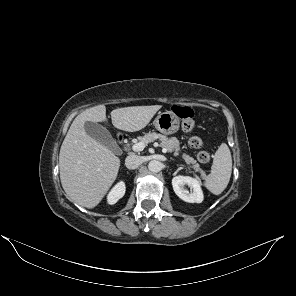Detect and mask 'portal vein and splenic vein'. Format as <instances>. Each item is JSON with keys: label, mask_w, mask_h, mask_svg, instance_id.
I'll list each match as a JSON object with an SVG mask.
<instances>
[{"label": "portal vein and splenic vein", "mask_w": 296, "mask_h": 296, "mask_svg": "<svg viewBox=\"0 0 296 296\" xmlns=\"http://www.w3.org/2000/svg\"><path fill=\"white\" fill-rule=\"evenodd\" d=\"M146 147V144L144 142H139V143H136L132 146V149L133 151L135 152H140V151H143V149ZM164 153L167 152V149H163L162 150Z\"/></svg>", "instance_id": "obj_1"}]
</instances>
